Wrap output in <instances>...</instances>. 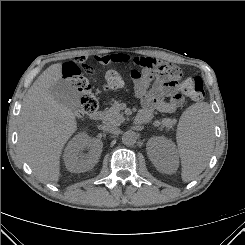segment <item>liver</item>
Wrapping results in <instances>:
<instances>
[{
    "label": "liver",
    "instance_id": "liver-1",
    "mask_svg": "<svg viewBox=\"0 0 245 245\" xmlns=\"http://www.w3.org/2000/svg\"><path fill=\"white\" fill-rule=\"evenodd\" d=\"M61 78V63L48 67L28 89L19 118L20 154L46 182L59 180L62 149L77 130L72 109L58 102L50 91Z\"/></svg>",
    "mask_w": 245,
    "mask_h": 245
}]
</instances>
